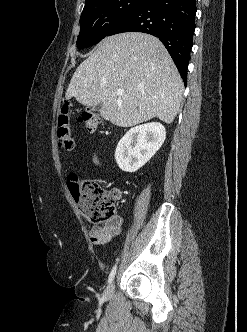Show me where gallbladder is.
<instances>
[{
  "instance_id": "1",
  "label": "gallbladder",
  "mask_w": 247,
  "mask_h": 332,
  "mask_svg": "<svg viewBox=\"0 0 247 332\" xmlns=\"http://www.w3.org/2000/svg\"><path fill=\"white\" fill-rule=\"evenodd\" d=\"M101 106H102V104L99 103V104H97L96 106L93 107V110H94V111H100Z\"/></svg>"
}]
</instances>
